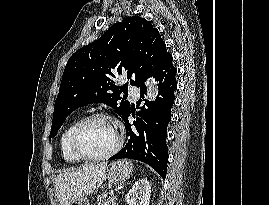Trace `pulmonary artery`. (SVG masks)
<instances>
[{"label":"pulmonary artery","mask_w":269,"mask_h":205,"mask_svg":"<svg viewBox=\"0 0 269 205\" xmlns=\"http://www.w3.org/2000/svg\"><path fill=\"white\" fill-rule=\"evenodd\" d=\"M129 91L135 98H138L140 92L136 87H130Z\"/></svg>","instance_id":"e3ab8cb5"}]
</instances>
